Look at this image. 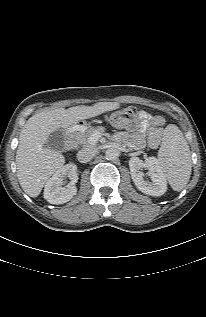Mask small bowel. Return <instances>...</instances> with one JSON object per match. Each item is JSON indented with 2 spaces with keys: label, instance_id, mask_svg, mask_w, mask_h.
Listing matches in <instances>:
<instances>
[{
  "label": "small bowel",
  "instance_id": "small-bowel-1",
  "mask_svg": "<svg viewBox=\"0 0 206 317\" xmlns=\"http://www.w3.org/2000/svg\"><path fill=\"white\" fill-rule=\"evenodd\" d=\"M165 126V119L162 116H153L145 111L138 113V124L135 131L127 135L118 134L119 139H127L128 144L133 148H142L146 138L151 148H157Z\"/></svg>",
  "mask_w": 206,
  "mask_h": 317
}]
</instances>
